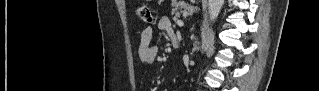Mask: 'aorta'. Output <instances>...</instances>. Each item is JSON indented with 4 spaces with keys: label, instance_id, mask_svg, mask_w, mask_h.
Masks as SVG:
<instances>
[{
    "label": "aorta",
    "instance_id": "1",
    "mask_svg": "<svg viewBox=\"0 0 319 91\" xmlns=\"http://www.w3.org/2000/svg\"><path fill=\"white\" fill-rule=\"evenodd\" d=\"M224 0H209L208 9L211 21H215L221 11Z\"/></svg>",
    "mask_w": 319,
    "mask_h": 91
}]
</instances>
